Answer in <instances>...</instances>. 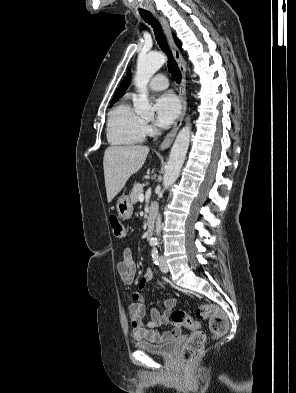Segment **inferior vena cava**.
<instances>
[{
	"label": "inferior vena cava",
	"mask_w": 296,
	"mask_h": 393,
	"mask_svg": "<svg viewBox=\"0 0 296 393\" xmlns=\"http://www.w3.org/2000/svg\"><path fill=\"white\" fill-rule=\"evenodd\" d=\"M161 226H162L161 217H160V215H158L157 221H156V234H157V236H160Z\"/></svg>",
	"instance_id": "inferior-vena-cava-1"
}]
</instances>
